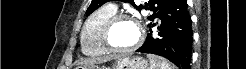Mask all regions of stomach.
I'll return each instance as SVG.
<instances>
[{
  "label": "stomach",
  "mask_w": 246,
  "mask_h": 69,
  "mask_svg": "<svg viewBox=\"0 0 246 69\" xmlns=\"http://www.w3.org/2000/svg\"><path fill=\"white\" fill-rule=\"evenodd\" d=\"M75 69H107L95 64L80 65ZM111 69H150L147 60L142 57H123L114 62Z\"/></svg>",
  "instance_id": "obj_1"
}]
</instances>
